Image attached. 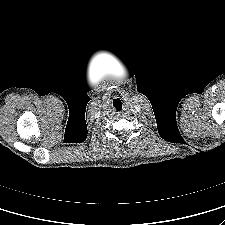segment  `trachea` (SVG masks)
Segmentation results:
<instances>
[{"label":"trachea","mask_w":225,"mask_h":225,"mask_svg":"<svg viewBox=\"0 0 225 225\" xmlns=\"http://www.w3.org/2000/svg\"><path fill=\"white\" fill-rule=\"evenodd\" d=\"M116 109H117L118 111L122 110V103L120 104V108H119V106H118V107H116Z\"/></svg>","instance_id":"3493384b"}]
</instances>
